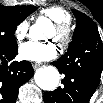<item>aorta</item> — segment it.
<instances>
[{
  "label": "aorta",
  "instance_id": "762f6f07",
  "mask_svg": "<svg viewBox=\"0 0 103 103\" xmlns=\"http://www.w3.org/2000/svg\"><path fill=\"white\" fill-rule=\"evenodd\" d=\"M36 84L45 91L55 90L59 84V72L53 66L39 68L35 72Z\"/></svg>",
  "mask_w": 103,
  "mask_h": 103
}]
</instances>
